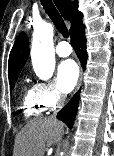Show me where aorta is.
Segmentation results:
<instances>
[{"label": "aorta", "instance_id": "aorta-1", "mask_svg": "<svg viewBox=\"0 0 114 156\" xmlns=\"http://www.w3.org/2000/svg\"><path fill=\"white\" fill-rule=\"evenodd\" d=\"M31 59L36 75L42 80L52 77L55 68V51L53 46V27L42 23L34 28Z\"/></svg>", "mask_w": 114, "mask_h": 156}]
</instances>
